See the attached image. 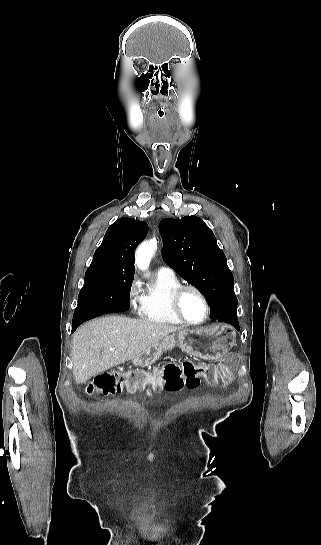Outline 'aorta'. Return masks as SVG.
<instances>
[{
	"label": "aorta",
	"instance_id": "obj_1",
	"mask_svg": "<svg viewBox=\"0 0 321 545\" xmlns=\"http://www.w3.org/2000/svg\"><path fill=\"white\" fill-rule=\"evenodd\" d=\"M156 249H157L156 239H152L149 242H144L138 247L136 251V255H135V260L139 269L144 270L149 266L150 260Z\"/></svg>",
	"mask_w": 321,
	"mask_h": 545
}]
</instances>
